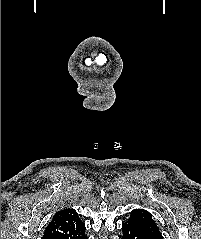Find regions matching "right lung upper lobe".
<instances>
[{
    "label": "right lung upper lobe",
    "mask_w": 201,
    "mask_h": 239,
    "mask_svg": "<svg viewBox=\"0 0 201 239\" xmlns=\"http://www.w3.org/2000/svg\"><path fill=\"white\" fill-rule=\"evenodd\" d=\"M85 230V224L79 219L77 212L64 209L54 215L42 239H82Z\"/></svg>",
    "instance_id": "cb5924a9"
}]
</instances>
